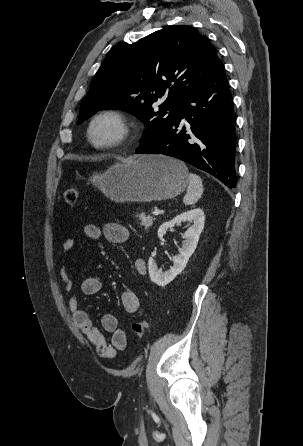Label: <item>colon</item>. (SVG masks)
Returning <instances> with one entry per match:
<instances>
[{"label": "colon", "instance_id": "obj_1", "mask_svg": "<svg viewBox=\"0 0 303 446\" xmlns=\"http://www.w3.org/2000/svg\"><path fill=\"white\" fill-rule=\"evenodd\" d=\"M64 200L69 205H75L79 199V193L75 188H68L64 192ZM133 333L140 339L144 338L147 331V323L144 320H139L132 325Z\"/></svg>", "mask_w": 303, "mask_h": 446}]
</instances>
